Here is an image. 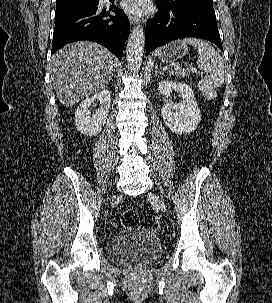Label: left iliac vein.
<instances>
[{
  "label": "left iliac vein",
  "instance_id": "left-iliac-vein-1",
  "mask_svg": "<svg viewBox=\"0 0 272 303\" xmlns=\"http://www.w3.org/2000/svg\"><path fill=\"white\" fill-rule=\"evenodd\" d=\"M148 196L154 201V203L163 211L166 212V206L164 202L155 194L149 193Z\"/></svg>",
  "mask_w": 272,
  "mask_h": 303
}]
</instances>
